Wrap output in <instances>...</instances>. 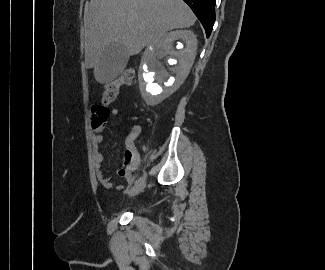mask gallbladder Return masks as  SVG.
<instances>
[{"mask_svg": "<svg viewBox=\"0 0 325 270\" xmlns=\"http://www.w3.org/2000/svg\"><path fill=\"white\" fill-rule=\"evenodd\" d=\"M128 59L129 55L122 44H111L99 58L97 73L105 79L113 80L125 69Z\"/></svg>", "mask_w": 325, "mask_h": 270, "instance_id": "bac80fb5", "label": "gallbladder"}]
</instances>
